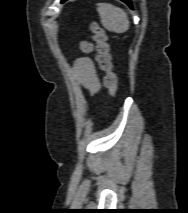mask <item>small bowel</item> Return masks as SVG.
Listing matches in <instances>:
<instances>
[{"label":"small bowel","mask_w":188,"mask_h":213,"mask_svg":"<svg viewBox=\"0 0 188 213\" xmlns=\"http://www.w3.org/2000/svg\"><path fill=\"white\" fill-rule=\"evenodd\" d=\"M81 49L84 53L89 54L93 51V45L83 41L81 43ZM73 66L75 76L82 87L87 90L91 96L96 95L102 87V81L91 58L88 56H80L75 59Z\"/></svg>","instance_id":"1"}]
</instances>
